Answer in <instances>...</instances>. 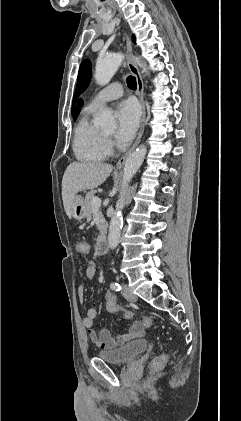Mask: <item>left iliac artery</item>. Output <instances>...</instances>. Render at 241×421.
<instances>
[{
    "instance_id": "obj_1",
    "label": "left iliac artery",
    "mask_w": 241,
    "mask_h": 421,
    "mask_svg": "<svg viewBox=\"0 0 241 421\" xmlns=\"http://www.w3.org/2000/svg\"><path fill=\"white\" fill-rule=\"evenodd\" d=\"M110 287H111L112 290H115V291L121 290V285L119 283H116V282H112L110 284Z\"/></svg>"
}]
</instances>
